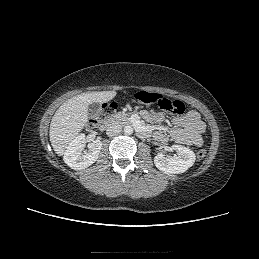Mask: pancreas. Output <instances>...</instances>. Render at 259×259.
Listing matches in <instances>:
<instances>
[{
	"label": "pancreas",
	"instance_id": "pancreas-1",
	"mask_svg": "<svg viewBox=\"0 0 259 259\" xmlns=\"http://www.w3.org/2000/svg\"><path fill=\"white\" fill-rule=\"evenodd\" d=\"M113 118L122 124H126L129 122V115L124 112H119L115 114Z\"/></svg>",
	"mask_w": 259,
	"mask_h": 259
}]
</instances>
